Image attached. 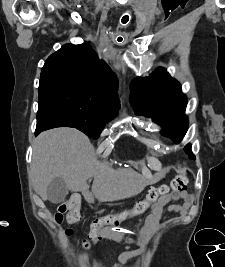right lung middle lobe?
<instances>
[{
    "mask_svg": "<svg viewBox=\"0 0 225 267\" xmlns=\"http://www.w3.org/2000/svg\"><path fill=\"white\" fill-rule=\"evenodd\" d=\"M39 104H46L67 118L74 128L97 139L105 124L117 114L111 103L89 88L61 79L40 81Z\"/></svg>",
    "mask_w": 225,
    "mask_h": 267,
    "instance_id": "obj_1",
    "label": "right lung middle lobe"
}]
</instances>
